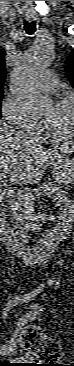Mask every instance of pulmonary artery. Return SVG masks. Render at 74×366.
<instances>
[{"mask_svg": "<svg viewBox=\"0 0 74 366\" xmlns=\"http://www.w3.org/2000/svg\"><path fill=\"white\" fill-rule=\"evenodd\" d=\"M59 84V80L54 72L51 70L44 71L37 82V87L42 92H52Z\"/></svg>", "mask_w": 74, "mask_h": 366, "instance_id": "pulmonary-artery-1", "label": "pulmonary artery"}]
</instances>
